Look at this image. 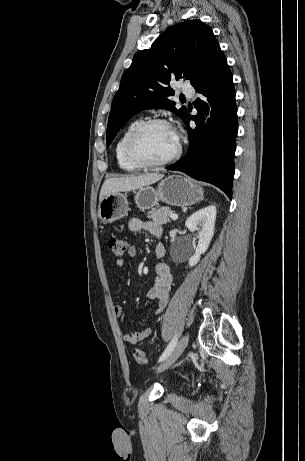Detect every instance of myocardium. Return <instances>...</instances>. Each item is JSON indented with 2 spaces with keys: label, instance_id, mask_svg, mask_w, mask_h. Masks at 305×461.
Listing matches in <instances>:
<instances>
[{
  "label": "myocardium",
  "instance_id": "myocardium-1",
  "mask_svg": "<svg viewBox=\"0 0 305 461\" xmlns=\"http://www.w3.org/2000/svg\"><path fill=\"white\" fill-rule=\"evenodd\" d=\"M154 125H163V126H167L172 129L170 123L167 120L161 119V118H150V119L141 121L131 132L126 142V155L128 159L130 160V162H132L134 165L140 168L153 169V168H158V167L168 165L172 163L173 161L177 160L180 157L181 152H182L181 144L177 141V148L174 151V153L161 161L151 162V161H147L144 158H142L137 152L138 141L141 135L143 134V132L147 128L154 126Z\"/></svg>",
  "mask_w": 305,
  "mask_h": 461
}]
</instances>
